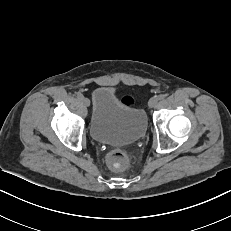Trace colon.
Listing matches in <instances>:
<instances>
[{
    "instance_id": "obj_1",
    "label": "colon",
    "mask_w": 231,
    "mask_h": 231,
    "mask_svg": "<svg viewBox=\"0 0 231 231\" xmlns=\"http://www.w3.org/2000/svg\"><path fill=\"white\" fill-rule=\"evenodd\" d=\"M123 101L127 103H133L134 100L131 96H124L122 98ZM129 162L128 155L125 151L121 149H115L109 152L107 155V164L113 170H123L127 167Z\"/></svg>"
}]
</instances>
